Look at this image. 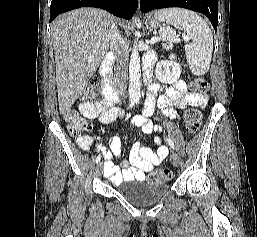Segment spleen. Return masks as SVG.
<instances>
[{"mask_svg":"<svg viewBox=\"0 0 257 237\" xmlns=\"http://www.w3.org/2000/svg\"><path fill=\"white\" fill-rule=\"evenodd\" d=\"M155 19L184 31V35L191 39V43L185 45L189 68L195 75L205 74L209 69L213 51V35L206 21L192 11L179 8L159 10L155 13ZM159 33L164 40L181 42L179 35L171 27L161 28Z\"/></svg>","mask_w":257,"mask_h":237,"instance_id":"spleen-1","label":"spleen"}]
</instances>
